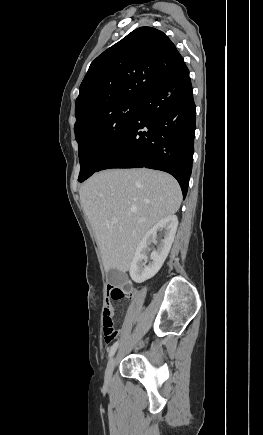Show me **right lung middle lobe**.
<instances>
[{
	"label": "right lung middle lobe",
	"instance_id": "right-lung-middle-lobe-1",
	"mask_svg": "<svg viewBox=\"0 0 263 435\" xmlns=\"http://www.w3.org/2000/svg\"><path fill=\"white\" fill-rule=\"evenodd\" d=\"M142 100L125 99L94 111L74 128L79 148V182L89 178L102 165L134 120Z\"/></svg>",
	"mask_w": 263,
	"mask_h": 435
}]
</instances>
